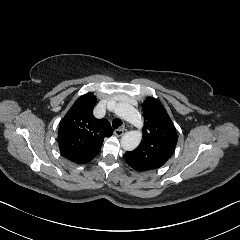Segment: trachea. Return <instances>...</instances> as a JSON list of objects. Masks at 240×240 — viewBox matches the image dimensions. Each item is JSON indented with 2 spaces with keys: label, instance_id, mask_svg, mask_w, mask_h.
<instances>
[{
  "label": "trachea",
  "instance_id": "3493384b",
  "mask_svg": "<svg viewBox=\"0 0 240 240\" xmlns=\"http://www.w3.org/2000/svg\"><path fill=\"white\" fill-rule=\"evenodd\" d=\"M112 126H113V128H119L120 126H122V120L119 118H115L112 121Z\"/></svg>",
  "mask_w": 240,
  "mask_h": 240
}]
</instances>
